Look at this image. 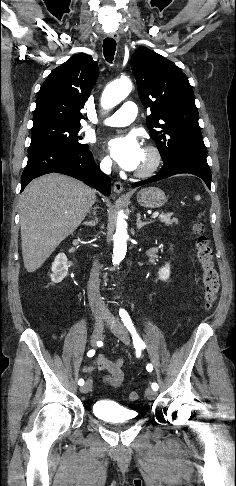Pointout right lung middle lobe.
I'll use <instances>...</instances> for the list:
<instances>
[{"instance_id":"obj_1","label":"right lung middle lobe","mask_w":236,"mask_h":486,"mask_svg":"<svg viewBox=\"0 0 236 486\" xmlns=\"http://www.w3.org/2000/svg\"><path fill=\"white\" fill-rule=\"evenodd\" d=\"M80 126L56 123L33 126L30 147L50 145L61 148H87V144L80 142L81 136H77Z\"/></svg>"}]
</instances>
